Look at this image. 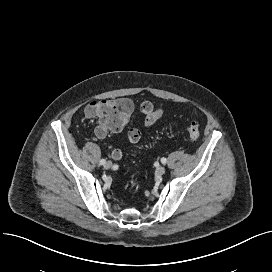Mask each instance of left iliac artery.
Listing matches in <instances>:
<instances>
[{
	"mask_svg": "<svg viewBox=\"0 0 272 272\" xmlns=\"http://www.w3.org/2000/svg\"><path fill=\"white\" fill-rule=\"evenodd\" d=\"M161 162H162L163 164H166V163H167V159H166V158H162V159H161Z\"/></svg>",
	"mask_w": 272,
	"mask_h": 272,
	"instance_id": "left-iliac-artery-1",
	"label": "left iliac artery"
}]
</instances>
